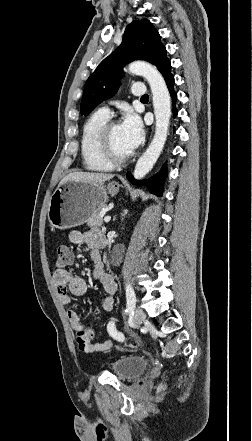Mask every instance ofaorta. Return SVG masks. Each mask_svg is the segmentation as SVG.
<instances>
[{"instance_id":"aorta-1","label":"aorta","mask_w":252,"mask_h":441,"mask_svg":"<svg viewBox=\"0 0 252 441\" xmlns=\"http://www.w3.org/2000/svg\"><path fill=\"white\" fill-rule=\"evenodd\" d=\"M128 69L147 80L152 92L156 118L155 135L137 161L133 173L135 179H141L152 169L166 142L171 117V98L165 80L156 67L146 62L135 61L129 64Z\"/></svg>"}]
</instances>
